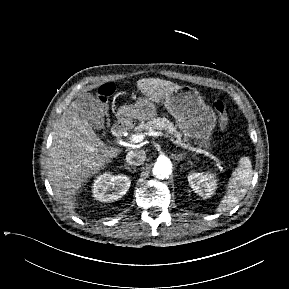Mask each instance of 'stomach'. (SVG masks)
I'll return each mask as SVG.
<instances>
[{"label": "stomach", "mask_w": 289, "mask_h": 289, "mask_svg": "<svg viewBox=\"0 0 289 289\" xmlns=\"http://www.w3.org/2000/svg\"><path fill=\"white\" fill-rule=\"evenodd\" d=\"M162 102L175 118L177 126L185 136L199 140L205 148L210 147L216 116L195 88L181 86L166 94ZM155 114L154 103L144 97L138 98L133 105L121 107L118 111V117L122 121L128 119L149 120Z\"/></svg>", "instance_id": "1"}]
</instances>
